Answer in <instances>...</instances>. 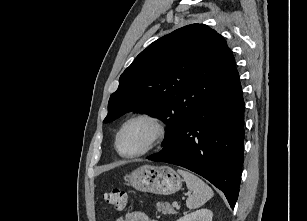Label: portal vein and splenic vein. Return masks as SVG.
I'll use <instances>...</instances> for the list:
<instances>
[{
  "mask_svg": "<svg viewBox=\"0 0 307 221\" xmlns=\"http://www.w3.org/2000/svg\"><path fill=\"white\" fill-rule=\"evenodd\" d=\"M172 206L175 207V208H178V207H179V205H178L177 202H173V203H172Z\"/></svg>",
  "mask_w": 307,
  "mask_h": 221,
  "instance_id": "18ae733b",
  "label": "portal vein and splenic vein"
}]
</instances>
